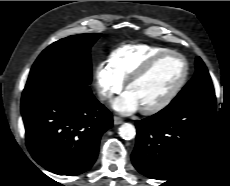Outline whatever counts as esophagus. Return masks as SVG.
<instances>
[{
	"label": "esophagus",
	"instance_id": "1",
	"mask_svg": "<svg viewBox=\"0 0 230 186\" xmlns=\"http://www.w3.org/2000/svg\"><path fill=\"white\" fill-rule=\"evenodd\" d=\"M113 122H114L115 125H119V124H121L123 122V120L118 116H114Z\"/></svg>",
	"mask_w": 230,
	"mask_h": 186
}]
</instances>
